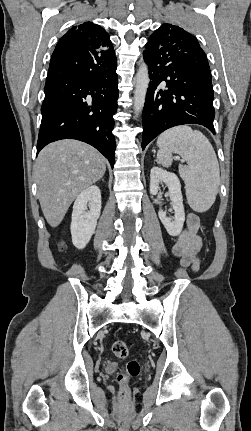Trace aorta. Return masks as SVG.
<instances>
[{
    "label": "aorta",
    "instance_id": "obj_1",
    "mask_svg": "<svg viewBox=\"0 0 251 431\" xmlns=\"http://www.w3.org/2000/svg\"><path fill=\"white\" fill-rule=\"evenodd\" d=\"M149 70L145 62H141L136 74V87L134 91V112L138 116L141 113L149 87Z\"/></svg>",
    "mask_w": 251,
    "mask_h": 431
}]
</instances>
